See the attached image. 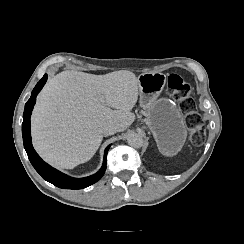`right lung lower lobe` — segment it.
<instances>
[{
    "instance_id": "1",
    "label": "right lung lower lobe",
    "mask_w": 244,
    "mask_h": 244,
    "mask_svg": "<svg viewBox=\"0 0 244 244\" xmlns=\"http://www.w3.org/2000/svg\"><path fill=\"white\" fill-rule=\"evenodd\" d=\"M46 81L47 75L45 74L43 78L36 84L32 91L30 99L25 104L22 123L24 148L27 152L31 164L46 181L63 189H82L88 187L97 182L105 173L107 152L111 145L107 146V148L105 149L104 161L101 169L94 175L80 179L68 177L67 175L54 169L53 167L45 163L33 149L30 134V116L33 110V106L36 102V96L40 92Z\"/></svg>"
}]
</instances>
